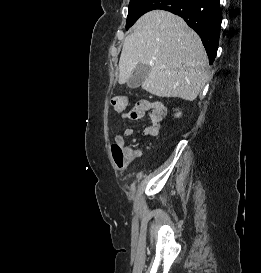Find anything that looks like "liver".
Segmentation results:
<instances>
[{
  "instance_id": "1",
  "label": "liver",
  "mask_w": 261,
  "mask_h": 273,
  "mask_svg": "<svg viewBox=\"0 0 261 273\" xmlns=\"http://www.w3.org/2000/svg\"><path fill=\"white\" fill-rule=\"evenodd\" d=\"M138 64L151 70L142 88L158 97L193 101L208 81V57L200 37L170 12L153 10L138 19L125 38L119 60V84Z\"/></svg>"
}]
</instances>
